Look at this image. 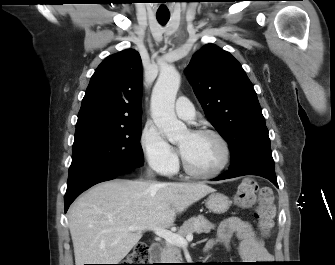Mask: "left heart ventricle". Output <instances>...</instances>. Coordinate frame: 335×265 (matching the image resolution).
<instances>
[{
	"instance_id": "1",
	"label": "left heart ventricle",
	"mask_w": 335,
	"mask_h": 265,
	"mask_svg": "<svg viewBox=\"0 0 335 265\" xmlns=\"http://www.w3.org/2000/svg\"><path fill=\"white\" fill-rule=\"evenodd\" d=\"M187 164L198 172H210L222 161L223 150L212 136H195L186 133L178 142Z\"/></svg>"
}]
</instances>
